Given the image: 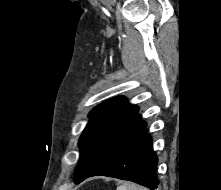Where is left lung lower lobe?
<instances>
[{
    "mask_svg": "<svg viewBox=\"0 0 221 190\" xmlns=\"http://www.w3.org/2000/svg\"><path fill=\"white\" fill-rule=\"evenodd\" d=\"M146 122L136 115L108 144L93 168L75 183L97 175L130 180L154 190L158 158Z\"/></svg>",
    "mask_w": 221,
    "mask_h": 190,
    "instance_id": "0a47b994",
    "label": "left lung lower lobe"
}]
</instances>
